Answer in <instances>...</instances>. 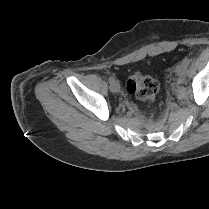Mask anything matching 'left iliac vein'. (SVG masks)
Wrapping results in <instances>:
<instances>
[{
  "mask_svg": "<svg viewBox=\"0 0 209 209\" xmlns=\"http://www.w3.org/2000/svg\"><path fill=\"white\" fill-rule=\"evenodd\" d=\"M186 68L187 67L183 64V62H181L176 66L175 72L179 77H182L184 75ZM179 82H181L180 79H179Z\"/></svg>",
  "mask_w": 209,
  "mask_h": 209,
  "instance_id": "4c4485c4",
  "label": "left iliac vein"
}]
</instances>
